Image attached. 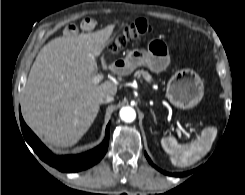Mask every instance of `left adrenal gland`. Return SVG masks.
Listing matches in <instances>:
<instances>
[{
	"instance_id": "left-adrenal-gland-1",
	"label": "left adrenal gland",
	"mask_w": 245,
	"mask_h": 195,
	"mask_svg": "<svg viewBox=\"0 0 245 195\" xmlns=\"http://www.w3.org/2000/svg\"><path fill=\"white\" fill-rule=\"evenodd\" d=\"M150 112H151V114L153 116L155 124H157L156 115H155L154 111L152 109H150Z\"/></svg>"
}]
</instances>
